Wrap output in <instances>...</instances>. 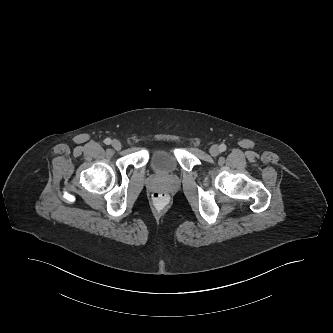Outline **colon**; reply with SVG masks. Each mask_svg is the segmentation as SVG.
Masks as SVG:
<instances>
[{
	"mask_svg": "<svg viewBox=\"0 0 333 333\" xmlns=\"http://www.w3.org/2000/svg\"><path fill=\"white\" fill-rule=\"evenodd\" d=\"M169 196L163 191L155 192L152 199V206L156 210H163L169 204Z\"/></svg>",
	"mask_w": 333,
	"mask_h": 333,
	"instance_id": "obj_1",
	"label": "colon"
}]
</instances>
